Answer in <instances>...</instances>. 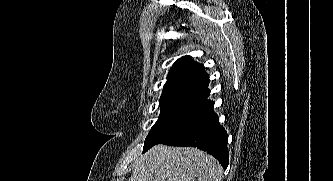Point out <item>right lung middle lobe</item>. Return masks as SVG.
I'll return each mask as SVG.
<instances>
[{
    "instance_id": "dd1d6c3e",
    "label": "right lung middle lobe",
    "mask_w": 333,
    "mask_h": 181,
    "mask_svg": "<svg viewBox=\"0 0 333 181\" xmlns=\"http://www.w3.org/2000/svg\"><path fill=\"white\" fill-rule=\"evenodd\" d=\"M207 113L190 108H162L160 117L146 137L143 152L155 144H166L180 138L203 120Z\"/></svg>"
}]
</instances>
